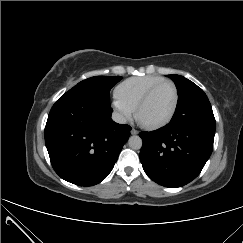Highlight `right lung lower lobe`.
<instances>
[{
	"label": "right lung lower lobe",
	"instance_id": "98d812e1",
	"mask_svg": "<svg viewBox=\"0 0 243 243\" xmlns=\"http://www.w3.org/2000/svg\"><path fill=\"white\" fill-rule=\"evenodd\" d=\"M112 111L110 103L80 92H66L53 105L45 143L61 178L92 186L108 176L132 129L114 122Z\"/></svg>",
	"mask_w": 243,
	"mask_h": 243
}]
</instances>
